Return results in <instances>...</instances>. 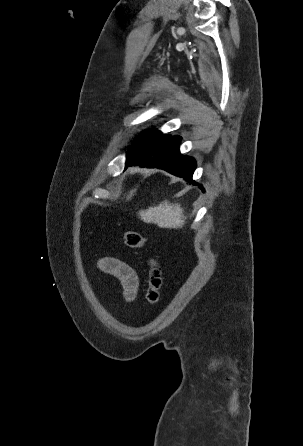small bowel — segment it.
Returning <instances> with one entry per match:
<instances>
[{
  "label": "small bowel",
  "instance_id": "c3829d8e",
  "mask_svg": "<svg viewBox=\"0 0 303 446\" xmlns=\"http://www.w3.org/2000/svg\"><path fill=\"white\" fill-rule=\"evenodd\" d=\"M99 269L109 275L116 277L123 288L126 300L134 299L139 281L134 269L127 263L112 257H104L98 262Z\"/></svg>",
  "mask_w": 303,
  "mask_h": 446
}]
</instances>
